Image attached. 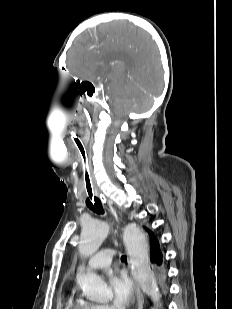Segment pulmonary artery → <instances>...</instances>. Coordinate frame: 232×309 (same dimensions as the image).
Here are the masks:
<instances>
[{
	"instance_id": "pulmonary-artery-1",
	"label": "pulmonary artery",
	"mask_w": 232,
	"mask_h": 309,
	"mask_svg": "<svg viewBox=\"0 0 232 309\" xmlns=\"http://www.w3.org/2000/svg\"><path fill=\"white\" fill-rule=\"evenodd\" d=\"M115 254V250L108 248L96 254L89 260V266L93 269H102L108 266L111 262V257Z\"/></svg>"
}]
</instances>
